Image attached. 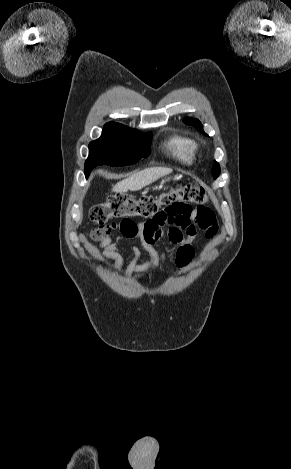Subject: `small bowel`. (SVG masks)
I'll return each instance as SVG.
<instances>
[{
    "mask_svg": "<svg viewBox=\"0 0 291 469\" xmlns=\"http://www.w3.org/2000/svg\"><path fill=\"white\" fill-rule=\"evenodd\" d=\"M197 227L207 231V237H213L217 232L215 216L209 210L205 217H201L197 209L191 208L187 212L167 214L161 218L149 219L143 222L123 220L119 223L110 224L106 232L94 230L91 234L93 240L98 242L101 255L114 262L116 270L124 265L123 249L119 246L121 240H138L140 245L129 246L132 260L128 266L127 273L132 274L157 266L161 256L155 249V245L166 238L171 244L176 245V266L178 270L185 269L194 257L192 242L196 236ZM118 230L120 235L113 238V231ZM142 250L150 256L146 263L139 264Z\"/></svg>",
    "mask_w": 291,
    "mask_h": 469,
    "instance_id": "c3829d8e",
    "label": "small bowel"
}]
</instances>
